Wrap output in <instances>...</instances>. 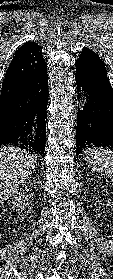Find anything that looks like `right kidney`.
<instances>
[{
	"label": "right kidney",
	"mask_w": 113,
	"mask_h": 279,
	"mask_svg": "<svg viewBox=\"0 0 113 279\" xmlns=\"http://www.w3.org/2000/svg\"><path fill=\"white\" fill-rule=\"evenodd\" d=\"M32 190L31 188H25L18 192L17 196L14 197V201L12 202V208L20 213L25 208L32 205L30 203V199L32 198Z\"/></svg>",
	"instance_id": "right-kidney-1"
}]
</instances>
